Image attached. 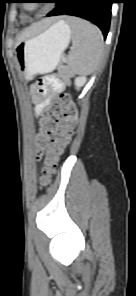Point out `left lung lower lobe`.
<instances>
[{
  "instance_id": "1",
  "label": "left lung lower lobe",
  "mask_w": 136,
  "mask_h": 296,
  "mask_svg": "<svg viewBox=\"0 0 136 296\" xmlns=\"http://www.w3.org/2000/svg\"><path fill=\"white\" fill-rule=\"evenodd\" d=\"M53 3L55 8L47 16L66 14L84 18L97 25L106 39L114 0H54Z\"/></svg>"
}]
</instances>
